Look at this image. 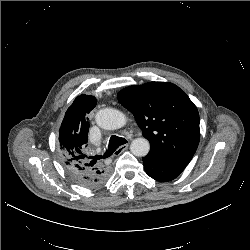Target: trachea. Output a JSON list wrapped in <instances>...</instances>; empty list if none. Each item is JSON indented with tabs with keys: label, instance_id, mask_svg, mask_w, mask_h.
<instances>
[{
	"label": "trachea",
	"instance_id": "trachea-1",
	"mask_svg": "<svg viewBox=\"0 0 250 250\" xmlns=\"http://www.w3.org/2000/svg\"><path fill=\"white\" fill-rule=\"evenodd\" d=\"M127 143V140L125 138L116 136V135H112L110 140H109V145H108V149L106 150L105 154H104V158L105 157H109L113 152H115L119 146L123 145ZM96 159H101L103 158V156H95Z\"/></svg>",
	"mask_w": 250,
	"mask_h": 250
}]
</instances>
